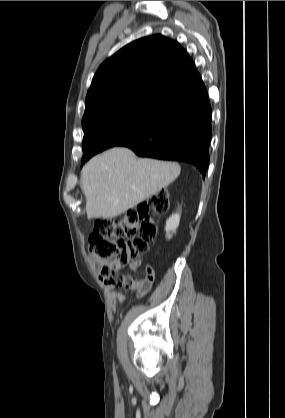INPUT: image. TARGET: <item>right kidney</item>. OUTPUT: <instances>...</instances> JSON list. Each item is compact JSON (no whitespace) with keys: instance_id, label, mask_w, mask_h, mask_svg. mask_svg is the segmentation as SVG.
<instances>
[{"instance_id":"obj_1","label":"right kidney","mask_w":285,"mask_h":418,"mask_svg":"<svg viewBox=\"0 0 285 418\" xmlns=\"http://www.w3.org/2000/svg\"><path fill=\"white\" fill-rule=\"evenodd\" d=\"M180 222V213H175L172 216L169 217L166 221V237L170 239L172 237L173 233H176V230L179 226Z\"/></svg>"}]
</instances>
